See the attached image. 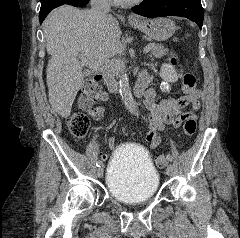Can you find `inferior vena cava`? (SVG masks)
Here are the masks:
<instances>
[{
	"label": "inferior vena cava",
	"instance_id": "obj_1",
	"mask_svg": "<svg viewBox=\"0 0 240 238\" xmlns=\"http://www.w3.org/2000/svg\"><path fill=\"white\" fill-rule=\"evenodd\" d=\"M91 10L89 13L98 18V19H105L109 15L108 13L111 11L110 4L108 0H91Z\"/></svg>",
	"mask_w": 240,
	"mask_h": 238
}]
</instances>
